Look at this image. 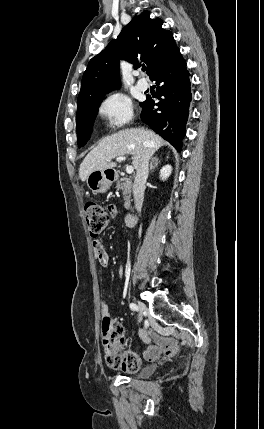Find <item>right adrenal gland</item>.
<instances>
[{
    "instance_id": "1",
    "label": "right adrenal gland",
    "mask_w": 264,
    "mask_h": 429,
    "mask_svg": "<svg viewBox=\"0 0 264 429\" xmlns=\"http://www.w3.org/2000/svg\"><path fill=\"white\" fill-rule=\"evenodd\" d=\"M159 163H160L159 159L156 156H154L151 159L150 172H152L158 166Z\"/></svg>"
}]
</instances>
